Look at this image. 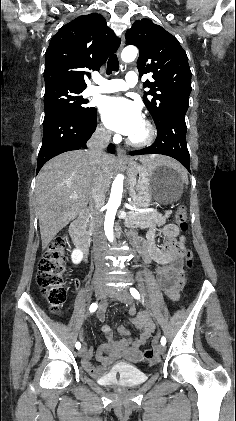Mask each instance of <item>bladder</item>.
Masks as SVG:
<instances>
[{
    "mask_svg": "<svg viewBox=\"0 0 236 421\" xmlns=\"http://www.w3.org/2000/svg\"><path fill=\"white\" fill-rule=\"evenodd\" d=\"M110 384H112V381H110L109 382ZM119 384H120V386H122V387H133V386H135V385H138L139 384V382H138V380H128V381H125V382H119Z\"/></svg>",
    "mask_w": 236,
    "mask_h": 421,
    "instance_id": "31cf9c89",
    "label": "bladder"
}]
</instances>
